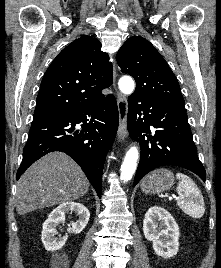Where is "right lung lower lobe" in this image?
I'll return each mask as SVG.
<instances>
[{
  "label": "right lung lower lobe",
  "instance_id": "obj_1",
  "mask_svg": "<svg viewBox=\"0 0 221 268\" xmlns=\"http://www.w3.org/2000/svg\"><path fill=\"white\" fill-rule=\"evenodd\" d=\"M118 123L119 113L113 95L67 113L34 117L16 178L48 152L61 151L78 163L101 197L104 162Z\"/></svg>",
  "mask_w": 221,
  "mask_h": 268
}]
</instances>
